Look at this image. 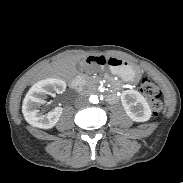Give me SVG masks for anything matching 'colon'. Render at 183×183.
<instances>
[{
  "label": "colon",
  "instance_id": "5ec220e1",
  "mask_svg": "<svg viewBox=\"0 0 183 183\" xmlns=\"http://www.w3.org/2000/svg\"><path fill=\"white\" fill-rule=\"evenodd\" d=\"M93 60L98 65H105L108 61L105 57H95ZM140 91L150 100L152 113L158 115L163 109L162 91L160 87L152 79L144 77L140 83Z\"/></svg>",
  "mask_w": 183,
  "mask_h": 183
}]
</instances>
